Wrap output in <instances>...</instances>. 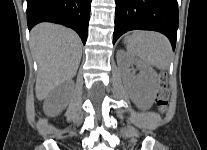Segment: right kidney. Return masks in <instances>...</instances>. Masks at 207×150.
<instances>
[{"instance_id":"1","label":"right kidney","mask_w":207,"mask_h":150,"mask_svg":"<svg viewBox=\"0 0 207 150\" xmlns=\"http://www.w3.org/2000/svg\"><path fill=\"white\" fill-rule=\"evenodd\" d=\"M62 94L60 88L53 90L45 99L43 109L47 115L54 116L59 114L65 107V103L59 102V97Z\"/></svg>"}]
</instances>
